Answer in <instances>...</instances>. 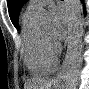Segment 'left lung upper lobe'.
<instances>
[{
	"mask_svg": "<svg viewBox=\"0 0 89 89\" xmlns=\"http://www.w3.org/2000/svg\"><path fill=\"white\" fill-rule=\"evenodd\" d=\"M27 1L28 0H7L11 21L17 29H18V16L20 8Z\"/></svg>",
	"mask_w": 89,
	"mask_h": 89,
	"instance_id": "left-lung-upper-lobe-1",
	"label": "left lung upper lobe"
}]
</instances>
